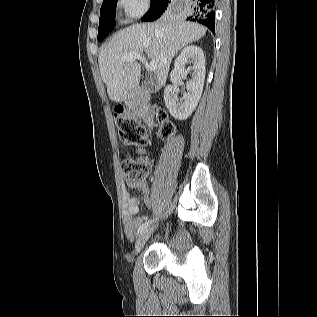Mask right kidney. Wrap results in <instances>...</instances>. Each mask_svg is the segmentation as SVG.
Masks as SVG:
<instances>
[{
	"label": "right kidney",
	"instance_id": "ca27d5eb",
	"mask_svg": "<svg viewBox=\"0 0 317 317\" xmlns=\"http://www.w3.org/2000/svg\"><path fill=\"white\" fill-rule=\"evenodd\" d=\"M190 64L188 69L185 66ZM193 71L192 78L186 83L187 92L178 98V85L181 78ZM173 85L167 86L164 91V101L170 114L178 120L187 119L198 105L205 80V57L200 47L189 45L182 49L174 62V69L170 74Z\"/></svg>",
	"mask_w": 317,
	"mask_h": 317
}]
</instances>
